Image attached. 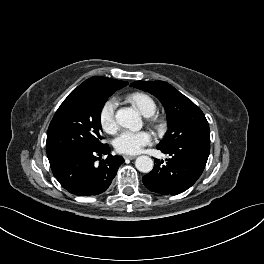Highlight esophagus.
I'll use <instances>...</instances> for the list:
<instances>
[{
    "instance_id": "obj_1",
    "label": "esophagus",
    "mask_w": 264,
    "mask_h": 264,
    "mask_svg": "<svg viewBox=\"0 0 264 264\" xmlns=\"http://www.w3.org/2000/svg\"><path fill=\"white\" fill-rule=\"evenodd\" d=\"M135 158H136L135 155H124V159L133 160V159H135Z\"/></svg>"
}]
</instances>
